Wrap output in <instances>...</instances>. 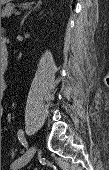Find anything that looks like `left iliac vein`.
I'll return each mask as SVG.
<instances>
[{"label": "left iliac vein", "mask_w": 109, "mask_h": 170, "mask_svg": "<svg viewBox=\"0 0 109 170\" xmlns=\"http://www.w3.org/2000/svg\"><path fill=\"white\" fill-rule=\"evenodd\" d=\"M35 152H36V145L32 144L21 158H19L18 160L12 163L11 169L17 170L25 166L33 158Z\"/></svg>", "instance_id": "1"}]
</instances>
